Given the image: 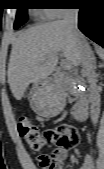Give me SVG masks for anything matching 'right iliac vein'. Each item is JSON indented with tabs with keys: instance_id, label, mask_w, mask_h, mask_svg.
Wrapping results in <instances>:
<instances>
[{
	"instance_id": "right-iliac-vein-1",
	"label": "right iliac vein",
	"mask_w": 104,
	"mask_h": 169,
	"mask_svg": "<svg viewBox=\"0 0 104 169\" xmlns=\"http://www.w3.org/2000/svg\"><path fill=\"white\" fill-rule=\"evenodd\" d=\"M98 166H99V169H104V163L101 157L98 159Z\"/></svg>"
}]
</instances>
